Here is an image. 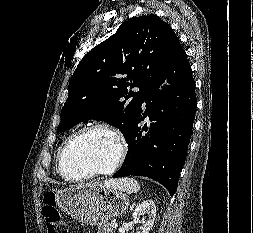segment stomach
Segmentation results:
<instances>
[{
    "label": "stomach",
    "instance_id": "0dacf381",
    "mask_svg": "<svg viewBox=\"0 0 253 233\" xmlns=\"http://www.w3.org/2000/svg\"><path fill=\"white\" fill-rule=\"evenodd\" d=\"M55 201L68 215L90 226L107 223L124 213L129 206V199L122 190L102 183L56 190Z\"/></svg>",
    "mask_w": 253,
    "mask_h": 233
}]
</instances>
